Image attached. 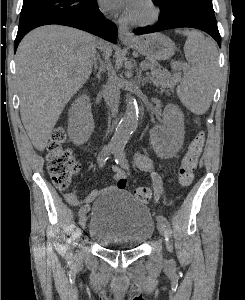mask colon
I'll use <instances>...</instances> for the list:
<instances>
[{
	"label": "colon",
	"instance_id": "colon-1",
	"mask_svg": "<svg viewBox=\"0 0 245 300\" xmlns=\"http://www.w3.org/2000/svg\"><path fill=\"white\" fill-rule=\"evenodd\" d=\"M66 133L62 128H57L51 136L47 146V168L53 184L59 190L70 187L74 174L79 170V164L72 152L64 146ZM205 143V132L199 130L191 140L188 149L181 161L178 171V181L183 187L189 186L194 178L199 157ZM135 197L142 203H147L152 198V191L148 187H139L135 190Z\"/></svg>",
	"mask_w": 245,
	"mask_h": 300
}]
</instances>
